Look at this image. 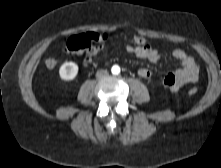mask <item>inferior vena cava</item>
Masks as SVG:
<instances>
[{"instance_id":"obj_1","label":"inferior vena cava","mask_w":221,"mask_h":168,"mask_svg":"<svg viewBox=\"0 0 221 168\" xmlns=\"http://www.w3.org/2000/svg\"><path fill=\"white\" fill-rule=\"evenodd\" d=\"M106 76H108V71L107 70H98L97 73H96L97 79H102Z\"/></svg>"}]
</instances>
